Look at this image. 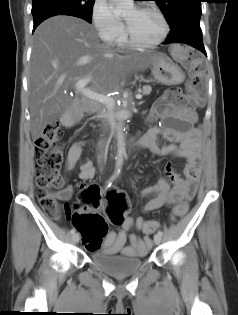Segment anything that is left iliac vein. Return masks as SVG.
I'll use <instances>...</instances> for the list:
<instances>
[{"label": "left iliac vein", "instance_id": "1", "mask_svg": "<svg viewBox=\"0 0 238 315\" xmlns=\"http://www.w3.org/2000/svg\"><path fill=\"white\" fill-rule=\"evenodd\" d=\"M154 242L156 245H159L162 242V237L159 234L154 236Z\"/></svg>", "mask_w": 238, "mask_h": 315}]
</instances>
